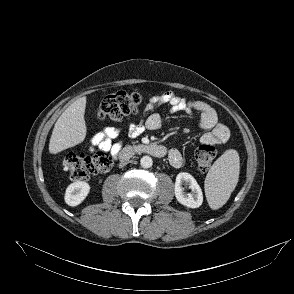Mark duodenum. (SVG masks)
Here are the masks:
<instances>
[{
	"instance_id": "duodenum-1",
	"label": "duodenum",
	"mask_w": 294,
	"mask_h": 294,
	"mask_svg": "<svg viewBox=\"0 0 294 294\" xmlns=\"http://www.w3.org/2000/svg\"><path fill=\"white\" fill-rule=\"evenodd\" d=\"M136 153H145L161 158L166 155V148L160 144H138L127 146L119 152L118 159L120 162L125 163Z\"/></svg>"
}]
</instances>
